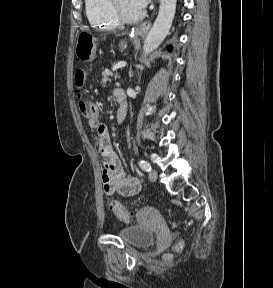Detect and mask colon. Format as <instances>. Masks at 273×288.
<instances>
[{"mask_svg": "<svg viewBox=\"0 0 273 288\" xmlns=\"http://www.w3.org/2000/svg\"><path fill=\"white\" fill-rule=\"evenodd\" d=\"M77 55L82 60H90L93 56V42L88 34H81L77 44ZM84 83V72L78 70L76 73V84L82 86ZM79 108L81 113L90 121L96 120L99 116V108L95 102L88 98L85 94H78ZM110 209L114 215L123 222H130L132 216L130 212L117 200L110 201ZM183 248V241H178L176 250Z\"/></svg>", "mask_w": 273, "mask_h": 288, "instance_id": "obj_1", "label": "colon"}]
</instances>
